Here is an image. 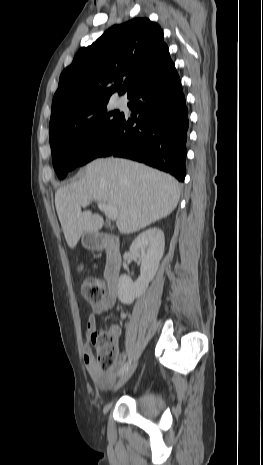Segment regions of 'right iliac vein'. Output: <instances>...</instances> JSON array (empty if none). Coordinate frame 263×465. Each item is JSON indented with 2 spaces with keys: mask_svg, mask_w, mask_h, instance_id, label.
Here are the masks:
<instances>
[{
  "mask_svg": "<svg viewBox=\"0 0 263 465\" xmlns=\"http://www.w3.org/2000/svg\"><path fill=\"white\" fill-rule=\"evenodd\" d=\"M138 365V362H134L127 370L126 372L121 376V378L118 380L117 384L114 387V391H117L120 389L133 375L134 371L136 370Z\"/></svg>",
  "mask_w": 263,
  "mask_h": 465,
  "instance_id": "obj_1",
  "label": "right iliac vein"
}]
</instances>
